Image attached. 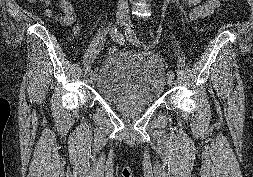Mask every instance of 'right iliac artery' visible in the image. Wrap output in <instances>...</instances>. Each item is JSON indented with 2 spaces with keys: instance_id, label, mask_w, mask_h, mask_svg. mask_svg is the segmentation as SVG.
<instances>
[{
  "instance_id": "obj_1",
  "label": "right iliac artery",
  "mask_w": 253,
  "mask_h": 177,
  "mask_svg": "<svg viewBox=\"0 0 253 177\" xmlns=\"http://www.w3.org/2000/svg\"><path fill=\"white\" fill-rule=\"evenodd\" d=\"M111 37L115 42L119 43L120 45H124L125 43L124 36L121 32L117 30V28H113L111 30ZM92 72L93 71H91V73Z\"/></svg>"
}]
</instances>
